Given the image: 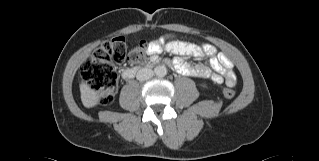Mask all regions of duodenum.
<instances>
[{
    "label": "duodenum",
    "mask_w": 319,
    "mask_h": 161,
    "mask_svg": "<svg viewBox=\"0 0 319 161\" xmlns=\"http://www.w3.org/2000/svg\"><path fill=\"white\" fill-rule=\"evenodd\" d=\"M152 66H153V62L148 61L140 66L125 68L122 71V77L124 79H130L133 76H135L138 72L142 71L143 69H148V68H151Z\"/></svg>",
    "instance_id": "1"
}]
</instances>
